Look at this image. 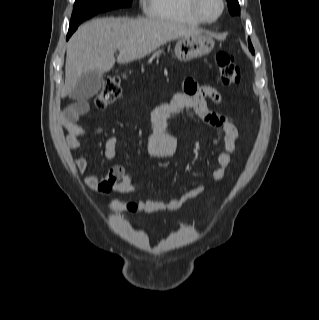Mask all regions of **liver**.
Instances as JSON below:
<instances>
[{"mask_svg":"<svg viewBox=\"0 0 319 320\" xmlns=\"http://www.w3.org/2000/svg\"><path fill=\"white\" fill-rule=\"evenodd\" d=\"M197 34H201L197 28L163 19L109 17L89 21L68 42L61 96L66 97L83 74L110 71L117 49V62L124 64L149 55L168 41Z\"/></svg>","mask_w":319,"mask_h":320,"instance_id":"1","label":"liver"}]
</instances>
